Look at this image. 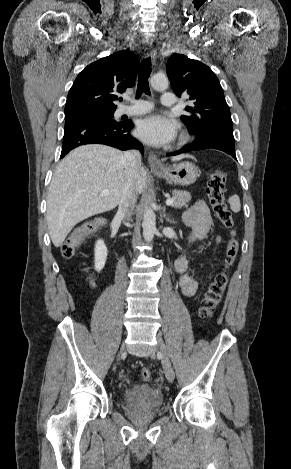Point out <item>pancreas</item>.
Here are the masks:
<instances>
[{"label": "pancreas", "instance_id": "obj_1", "mask_svg": "<svg viewBox=\"0 0 291 469\" xmlns=\"http://www.w3.org/2000/svg\"><path fill=\"white\" fill-rule=\"evenodd\" d=\"M172 194L174 202L171 206L174 208H181L185 206L186 203L191 199L190 194L183 190H174Z\"/></svg>", "mask_w": 291, "mask_h": 469}]
</instances>
